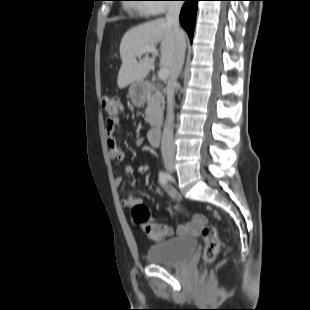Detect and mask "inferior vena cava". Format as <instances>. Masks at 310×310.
I'll return each instance as SVG.
<instances>
[{
	"label": "inferior vena cava",
	"instance_id": "inferior-vena-cava-1",
	"mask_svg": "<svg viewBox=\"0 0 310 310\" xmlns=\"http://www.w3.org/2000/svg\"><path fill=\"white\" fill-rule=\"evenodd\" d=\"M182 7L180 1H172L169 3L166 20L173 26L175 32V52L173 61L170 67V80L167 86V117L163 128L161 138V153L163 157L168 155L173 156L175 153V146L173 140V103L174 90L177 79L181 72L186 50V42L183 31L179 27V14Z\"/></svg>",
	"mask_w": 310,
	"mask_h": 310
}]
</instances>
